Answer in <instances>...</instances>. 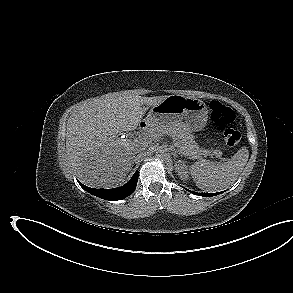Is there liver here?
<instances>
[{"label":"liver","instance_id":"6515ba94","mask_svg":"<svg viewBox=\"0 0 293 293\" xmlns=\"http://www.w3.org/2000/svg\"><path fill=\"white\" fill-rule=\"evenodd\" d=\"M168 96L109 93L85 101L67 120L66 153L77 177L92 187H114L131 169L134 146L151 138L119 137L135 130L146 108Z\"/></svg>","mask_w":293,"mask_h":293}]
</instances>
